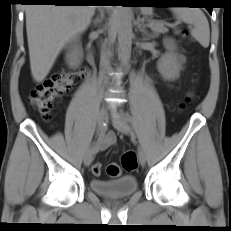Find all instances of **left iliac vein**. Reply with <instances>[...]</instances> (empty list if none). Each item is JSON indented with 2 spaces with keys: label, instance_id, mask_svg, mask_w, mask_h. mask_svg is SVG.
Returning <instances> with one entry per match:
<instances>
[{
  "label": "left iliac vein",
  "instance_id": "obj_1",
  "mask_svg": "<svg viewBox=\"0 0 231 231\" xmlns=\"http://www.w3.org/2000/svg\"><path fill=\"white\" fill-rule=\"evenodd\" d=\"M112 111H113L112 123H113L114 128L117 131H119L125 135L130 134L131 128L126 121L127 118L120 115L115 110L114 107H112ZM138 156H139V162H140L141 166H144L146 164V155H145V152L142 148H139Z\"/></svg>",
  "mask_w": 231,
  "mask_h": 231
}]
</instances>
